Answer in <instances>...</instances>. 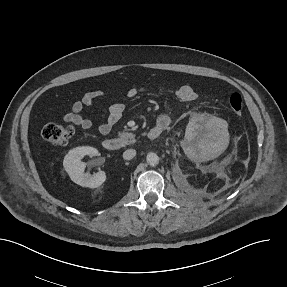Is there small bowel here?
Here are the masks:
<instances>
[{
	"label": "small bowel",
	"instance_id": "1",
	"mask_svg": "<svg viewBox=\"0 0 287 287\" xmlns=\"http://www.w3.org/2000/svg\"><path fill=\"white\" fill-rule=\"evenodd\" d=\"M142 90L139 88H131L128 90L126 97L132 98L137 96ZM161 92L171 93L176 99L182 102H192L198 97L196 90L190 85H181L177 87L162 86ZM106 95L101 91L86 92L80 99L73 102L71 109L67 112L63 119L68 123H72L84 130L91 129L93 122L82 115L84 110L96 101L105 100ZM124 104L121 102H114L109 106L106 121L98 126V131L105 135L108 134L112 128L119 122L124 113ZM172 123V116L169 113H162L157 117L155 127L168 128Z\"/></svg>",
	"mask_w": 287,
	"mask_h": 287
}]
</instances>
